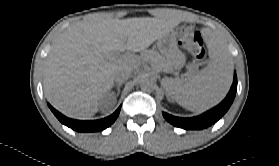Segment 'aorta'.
Returning a JSON list of instances; mask_svg holds the SVG:
<instances>
[{
    "mask_svg": "<svg viewBox=\"0 0 279 166\" xmlns=\"http://www.w3.org/2000/svg\"><path fill=\"white\" fill-rule=\"evenodd\" d=\"M140 87L142 90L150 92L154 89V83L149 78H144L141 81Z\"/></svg>",
    "mask_w": 279,
    "mask_h": 166,
    "instance_id": "aorta-1",
    "label": "aorta"
}]
</instances>
